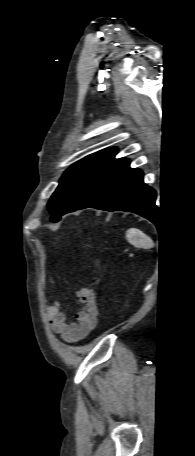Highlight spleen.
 <instances>
[{"instance_id": "3e777b00", "label": "spleen", "mask_w": 195, "mask_h": 456, "mask_svg": "<svg viewBox=\"0 0 195 456\" xmlns=\"http://www.w3.org/2000/svg\"><path fill=\"white\" fill-rule=\"evenodd\" d=\"M126 237L130 243L138 247L150 248L152 240L139 229L131 228L127 231Z\"/></svg>"}]
</instances>
